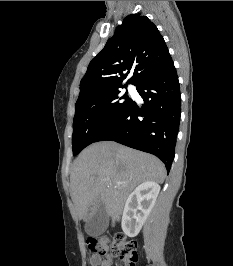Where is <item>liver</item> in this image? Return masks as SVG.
<instances>
[{
    "label": "liver",
    "instance_id": "liver-1",
    "mask_svg": "<svg viewBox=\"0 0 233 266\" xmlns=\"http://www.w3.org/2000/svg\"><path fill=\"white\" fill-rule=\"evenodd\" d=\"M165 177L164 164L153 155L113 141L93 143L79 154L70 175L76 214L87 220L92 215L90 206L100 199L107 214L119 221L124 203L137 185L163 183ZM118 181L123 184L117 186Z\"/></svg>",
    "mask_w": 233,
    "mask_h": 266
}]
</instances>
